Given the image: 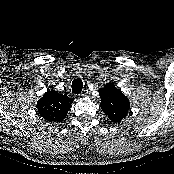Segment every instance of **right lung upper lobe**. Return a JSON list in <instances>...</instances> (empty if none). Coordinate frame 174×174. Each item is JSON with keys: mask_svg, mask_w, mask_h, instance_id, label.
<instances>
[{"mask_svg": "<svg viewBox=\"0 0 174 174\" xmlns=\"http://www.w3.org/2000/svg\"><path fill=\"white\" fill-rule=\"evenodd\" d=\"M73 100L66 94L54 90L46 92L37 101V110L41 117L49 122H59L64 119L71 108Z\"/></svg>", "mask_w": 174, "mask_h": 174, "instance_id": "1", "label": "right lung upper lobe"}]
</instances>
